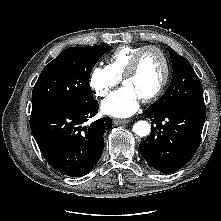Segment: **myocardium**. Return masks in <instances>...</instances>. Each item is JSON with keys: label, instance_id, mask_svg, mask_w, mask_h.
Returning a JSON list of instances; mask_svg holds the SVG:
<instances>
[{"label": "myocardium", "instance_id": "myocardium-1", "mask_svg": "<svg viewBox=\"0 0 221 221\" xmlns=\"http://www.w3.org/2000/svg\"><path fill=\"white\" fill-rule=\"evenodd\" d=\"M148 51H156L160 54L162 61H163L164 72H163L162 79H161L158 87L156 88V90L153 93H151L150 95L141 99V101L144 103H149V102H152L155 99H157L163 93L165 87L167 86L169 76H170V67H169V61H168V58H167V55L165 54V52L160 47L155 46V45H148V46L143 47L142 49H140L138 52L135 53V55L131 59L130 64L127 67L125 73L121 77V81L124 84L126 79L130 78L131 76H133L136 73L140 59Z\"/></svg>", "mask_w": 221, "mask_h": 221}]
</instances>
